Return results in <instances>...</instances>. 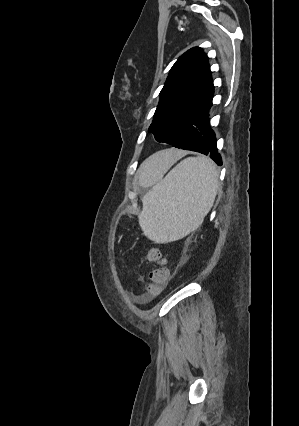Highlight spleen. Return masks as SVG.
<instances>
[{"label":"spleen","mask_w":299,"mask_h":426,"mask_svg":"<svg viewBox=\"0 0 299 426\" xmlns=\"http://www.w3.org/2000/svg\"><path fill=\"white\" fill-rule=\"evenodd\" d=\"M218 185V171L208 158L182 160L143 196L138 219L144 235L168 243L196 230L214 204Z\"/></svg>","instance_id":"spleen-1"}]
</instances>
